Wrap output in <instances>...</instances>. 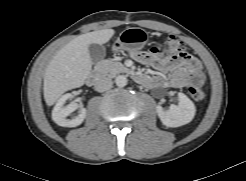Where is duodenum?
I'll return each mask as SVG.
<instances>
[{
	"label": "duodenum",
	"instance_id": "duodenum-1",
	"mask_svg": "<svg viewBox=\"0 0 246 181\" xmlns=\"http://www.w3.org/2000/svg\"><path fill=\"white\" fill-rule=\"evenodd\" d=\"M102 71L100 69L92 70L87 76V83L91 86H98L102 81ZM135 80L139 84H145L147 82V77L144 75H135Z\"/></svg>",
	"mask_w": 246,
	"mask_h": 181
}]
</instances>
